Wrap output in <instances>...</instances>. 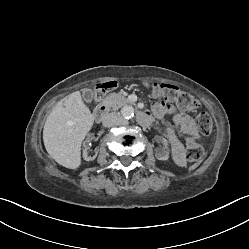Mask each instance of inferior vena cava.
<instances>
[{
	"mask_svg": "<svg viewBox=\"0 0 249 249\" xmlns=\"http://www.w3.org/2000/svg\"><path fill=\"white\" fill-rule=\"evenodd\" d=\"M123 122H124V119L120 114L110 113L105 116L102 124L104 127H113V126L121 125Z\"/></svg>",
	"mask_w": 249,
	"mask_h": 249,
	"instance_id": "1",
	"label": "inferior vena cava"
}]
</instances>
